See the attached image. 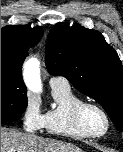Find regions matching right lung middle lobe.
<instances>
[{
    "instance_id": "1",
    "label": "right lung middle lobe",
    "mask_w": 123,
    "mask_h": 152,
    "mask_svg": "<svg viewBox=\"0 0 123 152\" xmlns=\"http://www.w3.org/2000/svg\"><path fill=\"white\" fill-rule=\"evenodd\" d=\"M27 89L22 81L1 74V123L21 117L27 107Z\"/></svg>"
}]
</instances>
